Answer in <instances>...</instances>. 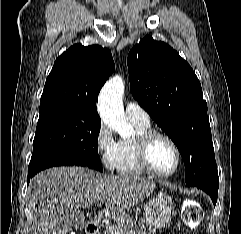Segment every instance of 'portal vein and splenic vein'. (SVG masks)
Returning <instances> with one entry per match:
<instances>
[{
    "mask_svg": "<svg viewBox=\"0 0 241 234\" xmlns=\"http://www.w3.org/2000/svg\"><path fill=\"white\" fill-rule=\"evenodd\" d=\"M103 202H104V199H101L100 202H99V204L101 205Z\"/></svg>",
    "mask_w": 241,
    "mask_h": 234,
    "instance_id": "obj_1",
    "label": "portal vein and splenic vein"
}]
</instances>
